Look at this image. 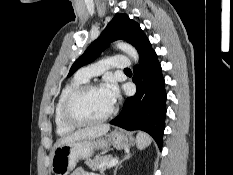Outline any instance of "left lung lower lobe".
<instances>
[{
  "label": "left lung lower lobe",
  "instance_id": "left-lung-lower-lobe-1",
  "mask_svg": "<svg viewBox=\"0 0 233 175\" xmlns=\"http://www.w3.org/2000/svg\"><path fill=\"white\" fill-rule=\"evenodd\" d=\"M134 72L137 93L126 99L122 111L110 124L130 131H145L161 149L167 94L161 65L151 44L140 54L139 67L135 66ZM139 72L142 75L140 78ZM139 79L142 81L139 82Z\"/></svg>",
  "mask_w": 233,
  "mask_h": 175
}]
</instances>
